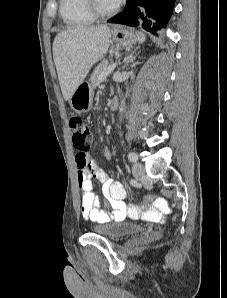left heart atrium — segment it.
Returning <instances> with one entry per match:
<instances>
[{"instance_id": "obj_1", "label": "left heart atrium", "mask_w": 227, "mask_h": 298, "mask_svg": "<svg viewBox=\"0 0 227 298\" xmlns=\"http://www.w3.org/2000/svg\"><path fill=\"white\" fill-rule=\"evenodd\" d=\"M122 0H109L112 6H117L121 3Z\"/></svg>"}]
</instances>
